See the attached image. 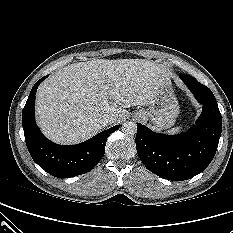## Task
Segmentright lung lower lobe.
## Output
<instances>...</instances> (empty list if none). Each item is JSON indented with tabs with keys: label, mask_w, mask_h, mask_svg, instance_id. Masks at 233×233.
<instances>
[{
	"label": "right lung lower lobe",
	"mask_w": 233,
	"mask_h": 233,
	"mask_svg": "<svg viewBox=\"0 0 233 233\" xmlns=\"http://www.w3.org/2000/svg\"><path fill=\"white\" fill-rule=\"evenodd\" d=\"M46 77L35 83L22 111V125L29 153L42 169L55 177L69 178L87 173L101 160L107 138L120 125L76 145L63 146L51 142L38 129L34 116L35 94L38 85Z\"/></svg>",
	"instance_id": "98d812e1"
}]
</instances>
